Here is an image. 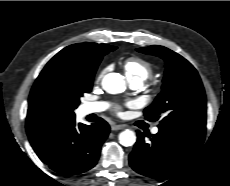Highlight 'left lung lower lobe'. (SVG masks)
I'll list each match as a JSON object with an SVG mask.
<instances>
[{
  "instance_id": "1",
  "label": "left lung lower lobe",
  "mask_w": 230,
  "mask_h": 186,
  "mask_svg": "<svg viewBox=\"0 0 230 186\" xmlns=\"http://www.w3.org/2000/svg\"><path fill=\"white\" fill-rule=\"evenodd\" d=\"M158 127L159 132L154 135L137 131V142L129 155L130 166L137 173L154 179L171 178L201 148L206 125Z\"/></svg>"
}]
</instances>
